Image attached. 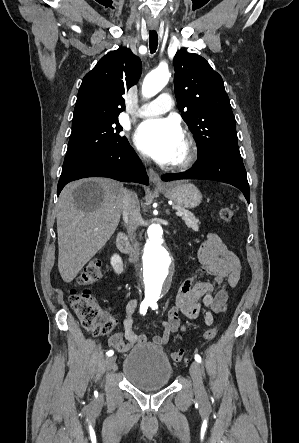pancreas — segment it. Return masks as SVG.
<instances>
[{"label":"pancreas","mask_w":299,"mask_h":443,"mask_svg":"<svg viewBox=\"0 0 299 443\" xmlns=\"http://www.w3.org/2000/svg\"><path fill=\"white\" fill-rule=\"evenodd\" d=\"M173 208L183 213L182 219L188 228H192L194 231L199 230V219H197L192 212L179 205H173Z\"/></svg>","instance_id":"pancreas-1"}]
</instances>
